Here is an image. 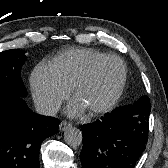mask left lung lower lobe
Returning <instances> with one entry per match:
<instances>
[{
  "instance_id": "1",
  "label": "left lung lower lobe",
  "mask_w": 168,
  "mask_h": 168,
  "mask_svg": "<svg viewBox=\"0 0 168 168\" xmlns=\"http://www.w3.org/2000/svg\"><path fill=\"white\" fill-rule=\"evenodd\" d=\"M150 110V99H142L83 125V168H134L148 141Z\"/></svg>"
}]
</instances>
